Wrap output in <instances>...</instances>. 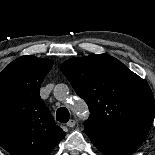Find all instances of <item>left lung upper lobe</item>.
<instances>
[{
  "label": "left lung upper lobe",
  "instance_id": "left-lung-upper-lobe-1",
  "mask_svg": "<svg viewBox=\"0 0 155 155\" xmlns=\"http://www.w3.org/2000/svg\"><path fill=\"white\" fill-rule=\"evenodd\" d=\"M76 93L89 106L84 132L92 138L146 132L155 116L149 85L108 54L71 58L61 65Z\"/></svg>",
  "mask_w": 155,
  "mask_h": 155
}]
</instances>
